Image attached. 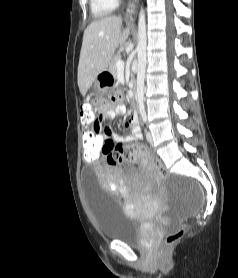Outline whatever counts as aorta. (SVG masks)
<instances>
[{"instance_id": "aorta-1", "label": "aorta", "mask_w": 238, "mask_h": 278, "mask_svg": "<svg viewBox=\"0 0 238 278\" xmlns=\"http://www.w3.org/2000/svg\"><path fill=\"white\" fill-rule=\"evenodd\" d=\"M146 47H147V34H146V19L144 9L141 8L138 20V68H137V104L139 111L144 112V81L146 71Z\"/></svg>"}]
</instances>
